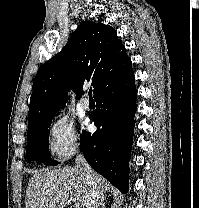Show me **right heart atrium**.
Returning a JSON list of instances; mask_svg holds the SVG:
<instances>
[{"instance_id":"obj_1","label":"right heart atrium","mask_w":199,"mask_h":208,"mask_svg":"<svg viewBox=\"0 0 199 208\" xmlns=\"http://www.w3.org/2000/svg\"><path fill=\"white\" fill-rule=\"evenodd\" d=\"M80 146V135L71 118L60 116L51 123L48 129V149L57 160H67Z\"/></svg>"}]
</instances>
